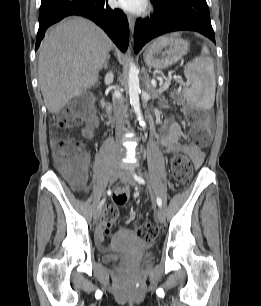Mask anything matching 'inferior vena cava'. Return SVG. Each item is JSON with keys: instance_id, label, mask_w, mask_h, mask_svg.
I'll return each instance as SVG.
<instances>
[{"instance_id": "602c4592", "label": "inferior vena cava", "mask_w": 261, "mask_h": 306, "mask_svg": "<svg viewBox=\"0 0 261 306\" xmlns=\"http://www.w3.org/2000/svg\"><path fill=\"white\" fill-rule=\"evenodd\" d=\"M113 107L116 118V127L119 131L125 128L127 107L124 105V99L121 93L117 90L113 96Z\"/></svg>"}]
</instances>
